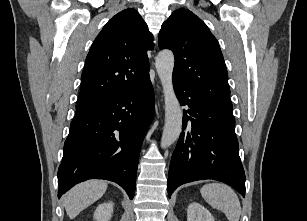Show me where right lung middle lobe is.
Wrapping results in <instances>:
<instances>
[{"label": "right lung middle lobe", "instance_id": "right-lung-middle-lobe-1", "mask_svg": "<svg viewBox=\"0 0 307 221\" xmlns=\"http://www.w3.org/2000/svg\"><path fill=\"white\" fill-rule=\"evenodd\" d=\"M90 108H77L76 109V113L75 115H79V114H82L84 113L85 111L89 110Z\"/></svg>", "mask_w": 307, "mask_h": 221}]
</instances>
